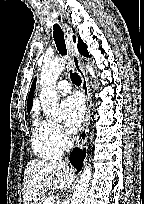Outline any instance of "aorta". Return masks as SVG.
<instances>
[{
    "label": "aorta",
    "instance_id": "aorta-1",
    "mask_svg": "<svg viewBox=\"0 0 144 204\" xmlns=\"http://www.w3.org/2000/svg\"><path fill=\"white\" fill-rule=\"evenodd\" d=\"M66 60L64 58H55L45 61L41 69L40 77V103L43 109V113L47 118L53 121H57L59 118V103L58 95L56 92V82L59 75L64 70ZM87 72L90 73L91 78H96L95 70L92 65H86ZM96 82V80L94 81ZM94 89L98 88V85L93 84ZM91 135L90 139L92 140ZM92 176L91 165L86 164L82 171L80 180L76 186V190L73 193L71 204H82L85 194L88 190L89 183Z\"/></svg>",
    "mask_w": 144,
    "mask_h": 204
}]
</instances>
